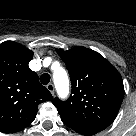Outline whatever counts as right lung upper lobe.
<instances>
[{
	"mask_svg": "<svg viewBox=\"0 0 136 136\" xmlns=\"http://www.w3.org/2000/svg\"><path fill=\"white\" fill-rule=\"evenodd\" d=\"M33 52L21 44H0V131L15 133L36 117L38 105L51 101V93L29 69Z\"/></svg>",
	"mask_w": 136,
	"mask_h": 136,
	"instance_id": "obj_1",
	"label": "right lung upper lobe"
}]
</instances>
